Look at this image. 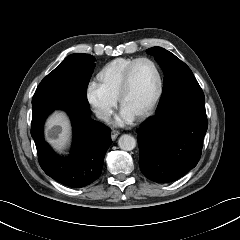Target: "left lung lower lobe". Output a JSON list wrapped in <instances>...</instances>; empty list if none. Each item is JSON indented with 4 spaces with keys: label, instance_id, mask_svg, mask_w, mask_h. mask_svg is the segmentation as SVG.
Listing matches in <instances>:
<instances>
[{
    "label": "left lung lower lobe",
    "instance_id": "left-lung-lower-lobe-1",
    "mask_svg": "<svg viewBox=\"0 0 240 240\" xmlns=\"http://www.w3.org/2000/svg\"><path fill=\"white\" fill-rule=\"evenodd\" d=\"M207 127L205 102L169 105L137 130L141 172L157 183L184 176L201 157Z\"/></svg>",
    "mask_w": 240,
    "mask_h": 240
}]
</instances>
